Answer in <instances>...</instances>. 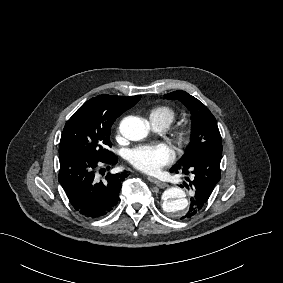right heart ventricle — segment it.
Returning <instances> with one entry per match:
<instances>
[{
	"label": "right heart ventricle",
	"mask_w": 283,
	"mask_h": 283,
	"mask_svg": "<svg viewBox=\"0 0 283 283\" xmlns=\"http://www.w3.org/2000/svg\"><path fill=\"white\" fill-rule=\"evenodd\" d=\"M176 116V111L167 105L156 106L149 113L150 122L163 126L164 129L175 121Z\"/></svg>",
	"instance_id": "1"
}]
</instances>
